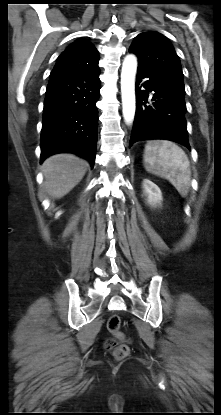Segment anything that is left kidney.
<instances>
[{
    "instance_id": "obj_1",
    "label": "left kidney",
    "mask_w": 221,
    "mask_h": 415,
    "mask_svg": "<svg viewBox=\"0 0 221 415\" xmlns=\"http://www.w3.org/2000/svg\"><path fill=\"white\" fill-rule=\"evenodd\" d=\"M144 194L147 197V203L152 207L161 205L162 193L159 187L150 180H143Z\"/></svg>"
}]
</instances>
